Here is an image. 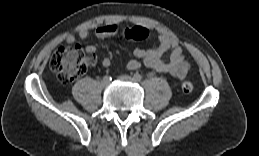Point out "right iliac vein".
I'll return each instance as SVG.
<instances>
[{
  "label": "right iliac vein",
  "mask_w": 259,
  "mask_h": 156,
  "mask_svg": "<svg viewBox=\"0 0 259 156\" xmlns=\"http://www.w3.org/2000/svg\"><path fill=\"white\" fill-rule=\"evenodd\" d=\"M109 84H110V81H109V80L103 79L102 82H101V85H102V87H104V88L107 87Z\"/></svg>",
  "instance_id": "63e3f726"
}]
</instances>
